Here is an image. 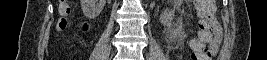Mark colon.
Masks as SVG:
<instances>
[{
  "label": "colon",
  "instance_id": "obj_1",
  "mask_svg": "<svg viewBox=\"0 0 267 60\" xmlns=\"http://www.w3.org/2000/svg\"><path fill=\"white\" fill-rule=\"evenodd\" d=\"M196 11L199 18V31L197 35L191 40L192 59L194 60H209L213 53L209 46H207L205 34L210 29L215 18L216 0H197ZM60 18L56 23L58 30H65L68 22L67 16L70 13V6L67 1L59 3Z\"/></svg>",
  "mask_w": 267,
  "mask_h": 60
}]
</instances>
